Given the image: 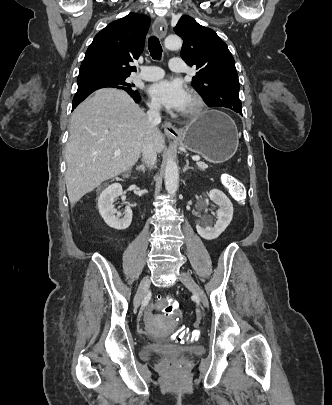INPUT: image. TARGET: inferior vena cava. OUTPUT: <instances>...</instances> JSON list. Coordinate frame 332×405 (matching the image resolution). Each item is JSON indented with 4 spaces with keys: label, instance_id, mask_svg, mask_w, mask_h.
Returning a JSON list of instances; mask_svg holds the SVG:
<instances>
[{
    "label": "inferior vena cava",
    "instance_id": "1",
    "mask_svg": "<svg viewBox=\"0 0 332 405\" xmlns=\"http://www.w3.org/2000/svg\"><path fill=\"white\" fill-rule=\"evenodd\" d=\"M148 106L149 110L147 112V123L149 125V131L143 143L142 156L147 167L151 169L155 167L157 161V152L153 141V133L157 128V125L161 122V105L157 101H152Z\"/></svg>",
    "mask_w": 332,
    "mask_h": 405
}]
</instances>
